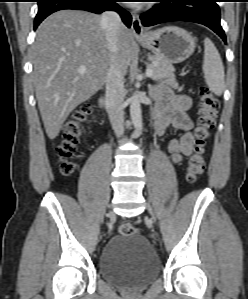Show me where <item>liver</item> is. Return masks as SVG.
<instances>
[{"instance_id": "liver-1", "label": "liver", "mask_w": 248, "mask_h": 299, "mask_svg": "<svg viewBox=\"0 0 248 299\" xmlns=\"http://www.w3.org/2000/svg\"><path fill=\"white\" fill-rule=\"evenodd\" d=\"M100 15L62 10L38 27L32 46L33 82L49 139H55L69 114L106 83L110 66ZM135 50L133 34L122 23L116 58L126 73ZM84 66L85 71L79 70Z\"/></svg>"}]
</instances>
